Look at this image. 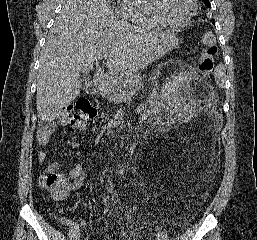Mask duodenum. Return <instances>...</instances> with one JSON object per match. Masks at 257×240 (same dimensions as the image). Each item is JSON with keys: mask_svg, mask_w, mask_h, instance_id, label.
<instances>
[{"mask_svg": "<svg viewBox=\"0 0 257 240\" xmlns=\"http://www.w3.org/2000/svg\"><path fill=\"white\" fill-rule=\"evenodd\" d=\"M99 86V82L97 80H93L87 87V92L89 94H93L97 91Z\"/></svg>", "mask_w": 257, "mask_h": 240, "instance_id": "1", "label": "duodenum"}]
</instances>
